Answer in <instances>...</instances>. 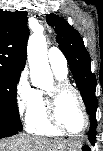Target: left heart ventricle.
<instances>
[{"instance_id":"obj_1","label":"left heart ventricle","mask_w":103,"mask_h":151,"mask_svg":"<svg viewBox=\"0 0 103 151\" xmlns=\"http://www.w3.org/2000/svg\"><path fill=\"white\" fill-rule=\"evenodd\" d=\"M57 115L61 124L70 131L79 132L82 130L84 126L83 111L74 93L68 91L60 96Z\"/></svg>"}]
</instances>
